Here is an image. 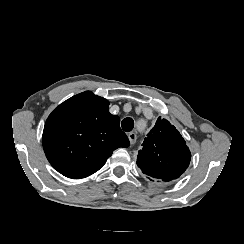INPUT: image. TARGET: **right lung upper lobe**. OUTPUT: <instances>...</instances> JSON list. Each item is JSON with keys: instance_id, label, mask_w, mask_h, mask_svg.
Segmentation results:
<instances>
[{"instance_id": "obj_1", "label": "right lung upper lobe", "mask_w": 244, "mask_h": 244, "mask_svg": "<svg viewBox=\"0 0 244 244\" xmlns=\"http://www.w3.org/2000/svg\"><path fill=\"white\" fill-rule=\"evenodd\" d=\"M109 102L90 91L75 95L48 117L42 136L44 152L62 175L81 179L102 168L112 152L130 145Z\"/></svg>"}]
</instances>
